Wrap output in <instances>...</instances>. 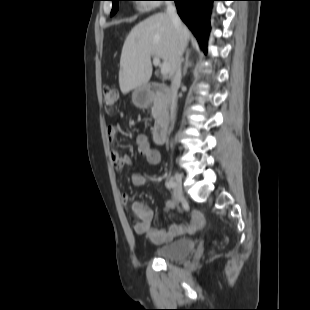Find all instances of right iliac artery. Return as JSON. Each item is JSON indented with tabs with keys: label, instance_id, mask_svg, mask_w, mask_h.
Returning a JSON list of instances; mask_svg holds the SVG:
<instances>
[{
	"label": "right iliac artery",
	"instance_id": "1",
	"mask_svg": "<svg viewBox=\"0 0 310 310\" xmlns=\"http://www.w3.org/2000/svg\"><path fill=\"white\" fill-rule=\"evenodd\" d=\"M165 185H166L167 188L171 189V188H174L175 183H174V181L172 179H170V180L166 181Z\"/></svg>",
	"mask_w": 310,
	"mask_h": 310
}]
</instances>
